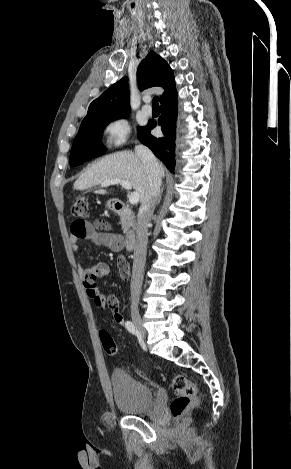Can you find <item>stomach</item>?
I'll return each instance as SVG.
<instances>
[{
	"label": "stomach",
	"mask_w": 291,
	"mask_h": 469,
	"mask_svg": "<svg viewBox=\"0 0 291 469\" xmlns=\"http://www.w3.org/2000/svg\"><path fill=\"white\" fill-rule=\"evenodd\" d=\"M107 207L110 208V209H114V200H109L107 202Z\"/></svg>",
	"instance_id": "stomach-1"
}]
</instances>
